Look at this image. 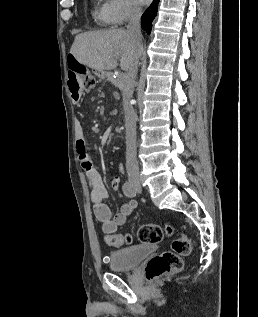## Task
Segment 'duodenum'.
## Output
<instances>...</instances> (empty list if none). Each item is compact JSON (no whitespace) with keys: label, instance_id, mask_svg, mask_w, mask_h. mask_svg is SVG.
Wrapping results in <instances>:
<instances>
[{"label":"duodenum","instance_id":"1","mask_svg":"<svg viewBox=\"0 0 258 317\" xmlns=\"http://www.w3.org/2000/svg\"><path fill=\"white\" fill-rule=\"evenodd\" d=\"M66 84L74 102H79L85 92L81 76L76 70L70 69L67 72Z\"/></svg>","mask_w":258,"mask_h":317}]
</instances>
